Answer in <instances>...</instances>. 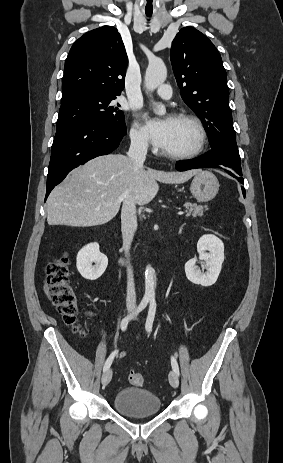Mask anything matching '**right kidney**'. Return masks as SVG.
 I'll use <instances>...</instances> for the list:
<instances>
[{
    "label": "right kidney",
    "mask_w": 283,
    "mask_h": 463,
    "mask_svg": "<svg viewBox=\"0 0 283 463\" xmlns=\"http://www.w3.org/2000/svg\"><path fill=\"white\" fill-rule=\"evenodd\" d=\"M107 265L108 258L99 251L98 243L84 246L77 254V269L81 276L87 280L98 279L105 272Z\"/></svg>",
    "instance_id": "right-kidney-1"
}]
</instances>
